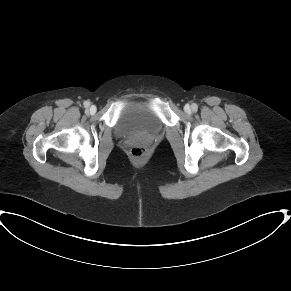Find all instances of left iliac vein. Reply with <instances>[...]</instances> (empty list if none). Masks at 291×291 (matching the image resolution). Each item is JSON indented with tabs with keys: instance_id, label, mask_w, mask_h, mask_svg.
I'll return each instance as SVG.
<instances>
[{
	"instance_id": "left-iliac-vein-1",
	"label": "left iliac vein",
	"mask_w": 291,
	"mask_h": 291,
	"mask_svg": "<svg viewBox=\"0 0 291 291\" xmlns=\"http://www.w3.org/2000/svg\"><path fill=\"white\" fill-rule=\"evenodd\" d=\"M185 110H186L187 112L190 111V107H189V105H186V106H185Z\"/></svg>"
}]
</instances>
